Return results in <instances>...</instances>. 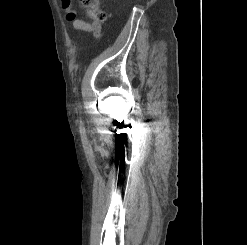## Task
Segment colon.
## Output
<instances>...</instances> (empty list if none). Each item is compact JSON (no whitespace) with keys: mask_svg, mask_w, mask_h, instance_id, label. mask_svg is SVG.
I'll use <instances>...</instances> for the list:
<instances>
[{"mask_svg":"<svg viewBox=\"0 0 247 245\" xmlns=\"http://www.w3.org/2000/svg\"><path fill=\"white\" fill-rule=\"evenodd\" d=\"M81 4L94 22L100 23L105 20V13L97 7L98 0H81Z\"/></svg>","mask_w":247,"mask_h":245,"instance_id":"obj_1","label":"colon"}]
</instances>
